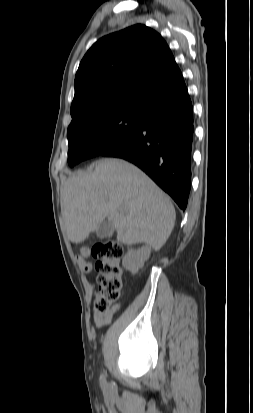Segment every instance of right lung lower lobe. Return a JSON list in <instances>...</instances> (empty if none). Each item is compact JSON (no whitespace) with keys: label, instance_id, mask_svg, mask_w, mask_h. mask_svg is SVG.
Here are the masks:
<instances>
[{"label":"right lung lower lobe","instance_id":"obj_1","mask_svg":"<svg viewBox=\"0 0 253 413\" xmlns=\"http://www.w3.org/2000/svg\"><path fill=\"white\" fill-rule=\"evenodd\" d=\"M193 132V107L187 94L179 101L152 105L141 128L101 156L132 162L185 210L191 187Z\"/></svg>","mask_w":253,"mask_h":413}]
</instances>
